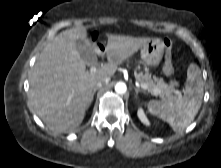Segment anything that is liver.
<instances>
[{
  "label": "liver",
  "mask_w": 221,
  "mask_h": 168,
  "mask_svg": "<svg viewBox=\"0 0 221 168\" xmlns=\"http://www.w3.org/2000/svg\"><path fill=\"white\" fill-rule=\"evenodd\" d=\"M77 40L85 41L95 54L101 52L87 38L86 29L65 30L45 46L30 77L31 105L45 125L55 132L77 128L85 117L96 82L113 76L118 65L150 38L109 35L106 46L108 62L96 72L85 70V62L76 50Z\"/></svg>",
  "instance_id": "1"
}]
</instances>
